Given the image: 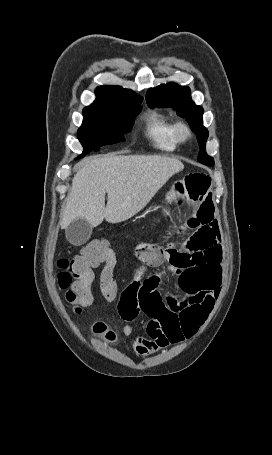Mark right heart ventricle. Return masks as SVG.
<instances>
[{
    "instance_id": "e07e8e85",
    "label": "right heart ventricle",
    "mask_w": 272,
    "mask_h": 455,
    "mask_svg": "<svg viewBox=\"0 0 272 455\" xmlns=\"http://www.w3.org/2000/svg\"><path fill=\"white\" fill-rule=\"evenodd\" d=\"M174 125L175 122L166 114L151 110L144 116V135L155 149L173 152L178 147Z\"/></svg>"
}]
</instances>
